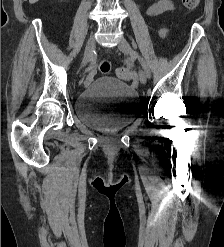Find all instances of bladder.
<instances>
[{"label":"bladder","mask_w":224,"mask_h":247,"mask_svg":"<svg viewBox=\"0 0 224 247\" xmlns=\"http://www.w3.org/2000/svg\"><path fill=\"white\" fill-rule=\"evenodd\" d=\"M140 107L138 93L112 77H100L77 97V117L87 126L116 132L133 122Z\"/></svg>","instance_id":"31cf9c89"}]
</instances>
